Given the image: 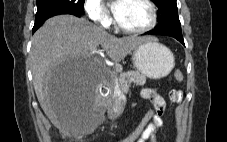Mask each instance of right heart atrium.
Wrapping results in <instances>:
<instances>
[{"label": "right heart atrium", "mask_w": 227, "mask_h": 142, "mask_svg": "<svg viewBox=\"0 0 227 142\" xmlns=\"http://www.w3.org/2000/svg\"><path fill=\"white\" fill-rule=\"evenodd\" d=\"M84 11L87 17L95 24L108 27L111 23L109 12L101 4L100 0H84Z\"/></svg>", "instance_id": "obj_1"}]
</instances>
